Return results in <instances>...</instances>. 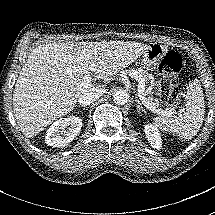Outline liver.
<instances>
[{"instance_id":"1","label":"liver","mask_w":215,"mask_h":215,"mask_svg":"<svg viewBox=\"0 0 215 215\" xmlns=\"http://www.w3.org/2000/svg\"><path fill=\"white\" fill-rule=\"evenodd\" d=\"M144 42L102 40L53 42L36 46L22 66L13 91V113L20 131L35 138L53 121L72 111L84 93L108 84L86 83L84 74L112 77L139 58Z\"/></svg>"}]
</instances>
